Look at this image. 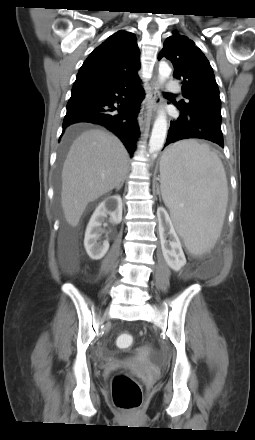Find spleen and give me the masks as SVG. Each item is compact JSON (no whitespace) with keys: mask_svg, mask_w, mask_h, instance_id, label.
I'll list each match as a JSON object with an SVG mask.
<instances>
[{"mask_svg":"<svg viewBox=\"0 0 255 440\" xmlns=\"http://www.w3.org/2000/svg\"><path fill=\"white\" fill-rule=\"evenodd\" d=\"M161 193L187 249L201 255L220 236L228 203L223 164L206 144L183 141L166 150Z\"/></svg>","mask_w":255,"mask_h":440,"instance_id":"obj_1","label":"spleen"}]
</instances>
